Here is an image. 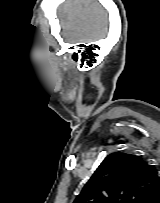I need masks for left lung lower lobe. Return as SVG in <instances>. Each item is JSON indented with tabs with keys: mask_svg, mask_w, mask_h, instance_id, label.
<instances>
[{
	"mask_svg": "<svg viewBox=\"0 0 160 203\" xmlns=\"http://www.w3.org/2000/svg\"><path fill=\"white\" fill-rule=\"evenodd\" d=\"M152 203H160V192L156 196V198L152 201Z\"/></svg>",
	"mask_w": 160,
	"mask_h": 203,
	"instance_id": "0a47b994",
	"label": "left lung lower lobe"
}]
</instances>
